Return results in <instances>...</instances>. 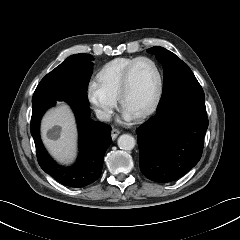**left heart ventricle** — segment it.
Here are the masks:
<instances>
[{
	"label": "left heart ventricle",
	"instance_id": "b2bd125f",
	"mask_svg": "<svg viewBox=\"0 0 240 240\" xmlns=\"http://www.w3.org/2000/svg\"><path fill=\"white\" fill-rule=\"evenodd\" d=\"M157 89V74L148 61L135 65L130 77V90L123 104V111L134 117L146 109Z\"/></svg>",
	"mask_w": 240,
	"mask_h": 240
}]
</instances>
